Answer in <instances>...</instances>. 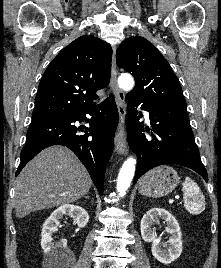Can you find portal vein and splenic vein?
I'll return each mask as SVG.
<instances>
[{
  "instance_id": "18ae733b",
  "label": "portal vein and splenic vein",
  "mask_w": 221,
  "mask_h": 268,
  "mask_svg": "<svg viewBox=\"0 0 221 268\" xmlns=\"http://www.w3.org/2000/svg\"><path fill=\"white\" fill-rule=\"evenodd\" d=\"M170 203H173V199H170V201H169Z\"/></svg>"
}]
</instances>
